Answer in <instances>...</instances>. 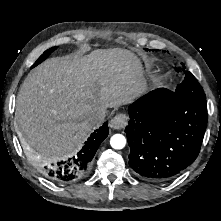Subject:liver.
<instances>
[{
    "label": "liver",
    "instance_id": "1",
    "mask_svg": "<svg viewBox=\"0 0 221 221\" xmlns=\"http://www.w3.org/2000/svg\"><path fill=\"white\" fill-rule=\"evenodd\" d=\"M138 57L122 48L97 49L45 60L23 81L15 116L27 155H67L97 127L88 121L95 108L129 104L142 92Z\"/></svg>",
    "mask_w": 221,
    "mask_h": 221
}]
</instances>
